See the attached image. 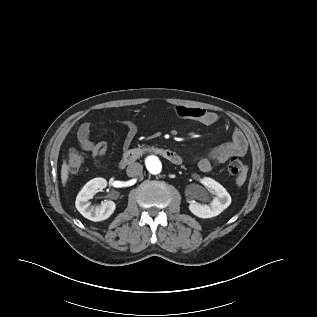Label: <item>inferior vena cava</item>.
<instances>
[{
	"label": "inferior vena cava",
	"mask_w": 317,
	"mask_h": 317,
	"mask_svg": "<svg viewBox=\"0 0 317 317\" xmlns=\"http://www.w3.org/2000/svg\"><path fill=\"white\" fill-rule=\"evenodd\" d=\"M142 170L143 166L140 163L136 162L130 164L126 169V172L129 177H134L140 175L142 173Z\"/></svg>",
	"instance_id": "obj_1"
}]
</instances>
